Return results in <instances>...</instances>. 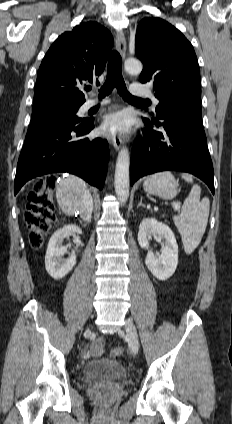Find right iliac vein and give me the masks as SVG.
Masks as SVG:
<instances>
[{
  "label": "right iliac vein",
  "mask_w": 232,
  "mask_h": 424,
  "mask_svg": "<svg viewBox=\"0 0 232 424\" xmlns=\"http://www.w3.org/2000/svg\"><path fill=\"white\" fill-rule=\"evenodd\" d=\"M90 333H91V330L87 329L86 332H85V335H89Z\"/></svg>",
  "instance_id": "1"
}]
</instances>
